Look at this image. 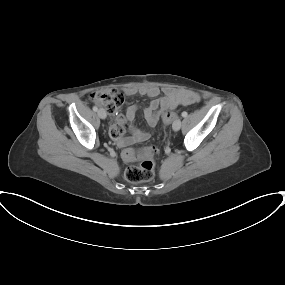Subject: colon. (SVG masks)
I'll list each match as a JSON object with an SVG mask.
<instances>
[{
    "instance_id": "5ec220e1",
    "label": "colon",
    "mask_w": 285,
    "mask_h": 285,
    "mask_svg": "<svg viewBox=\"0 0 285 285\" xmlns=\"http://www.w3.org/2000/svg\"><path fill=\"white\" fill-rule=\"evenodd\" d=\"M94 102L103 106L109 113L116 112L123 99L122 96L115 91H97L92 94ZM175 119V115L167 111L164 114L163 122L165 125L171 124ZM123 129H115L110 132L113 139H119L123 136ZM156 148L154 146H146L140 148H126L122 152V156L127 161L139 160L138 165H130L126 168L124 176L131 183H139L150 181L154 177Z\"/></svg>"
}]
</instances>
